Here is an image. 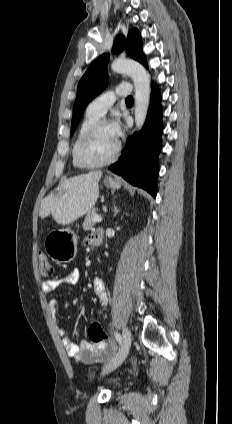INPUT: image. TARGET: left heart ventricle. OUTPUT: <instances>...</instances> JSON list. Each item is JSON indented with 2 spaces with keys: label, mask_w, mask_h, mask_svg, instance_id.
Listing matches in <instances>:
<instances>
[{
  "label": "left heart ventricle",
  "mask_w": 232,
  "mask_h": 424,
  "mask_svg": "<svg viewBox=\"0 0 232 424\" xmlns=\"http://www.w3.org/2000/svg\"><path fill=\"white\" fill-rule=\"evenodd\" d=\"M117 138L110 125L101 127L86 145L84 153L91 161H100L109 157L115 150Z\"/></svg>",
  "instance_id": "left-heart-ventricle-1"
}]
</instances>
